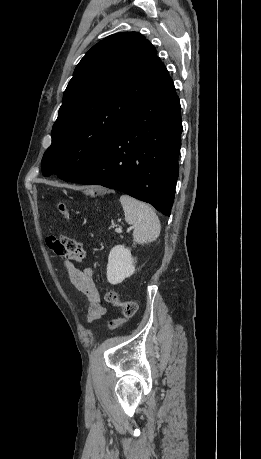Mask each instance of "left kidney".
<instances>
[{
	"label": "left kidney",
	"instance_id": "5707ae66",
	"mask_svg": "<svg viewBox=\"0 0 261 459\" xmlns=\"http://www.w3.org/2000/svg\"><path fill=\"white\" fill-rule=\"evenodd\" d=\"M134 258L124 245L113 247L108 256L107 280L110 284L121 283L135 272Z\"/></svg>",
	"mask_w": 261,
	"mask_h": 459
}]
</instances>
